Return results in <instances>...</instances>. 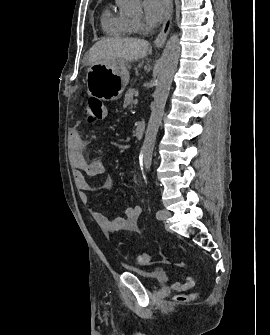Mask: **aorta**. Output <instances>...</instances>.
Wrapping results in <instances>:
<instances>
[{"label": "aorta", "instance_id": "1", "mask_svg": "<svg viewBox=\"0 0 270 335\" xmlns=\"http://www.w3.org/2000/svg\"><path fill=\"white\" fill-rule=\"evenodd\" d=\"M180 56L179 38L173 34L169 38L164 52L160 58L159 68L156 76V88L153 94L154 102L151 108V116L148 122L145 140L142 146L143 164L146 169H150L154 144L163 118L169 90L171 88L173 76L177 68Z\"/></svg>", "mask_w": 270, "mask_h": 335}]
</instances>
